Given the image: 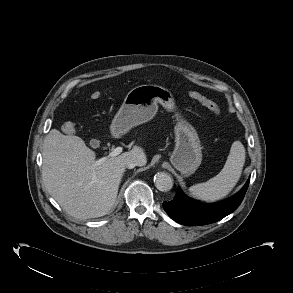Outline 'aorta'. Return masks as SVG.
Listing matches in <instances>:
<instances>
[{"instance_id": "aorta-1", "label": "aorta", "mask_w": 293, "mask_h": 293, "mask_svg": "<svg viewBox=\"0 0 293 293\" xmlns=\"http://www.w3.org/2000/svg\"><path fill=\"white\" fill-rule=\"evenodd\" d=\"M154 183L159 191L166 192L173 187V179L168 173L158 172L154 177Z\"/></svg>"}]
</instances>
